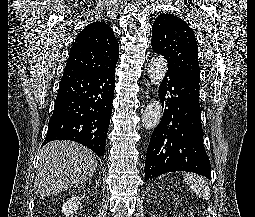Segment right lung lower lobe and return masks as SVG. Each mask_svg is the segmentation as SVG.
Segmentation results:
<instances>
[{"label": "right lung lower lobe", "mask_w": 255, "mask_h": 217, "mask_svg": "<svg viewBox=\"0 0 255 217\" xmlns=\"http://www.w3.org/2000/svg\"><path fill=\"white\" fill-rule=\"evenodd\" d=\"M114 69L64 72L43 145L53 140H72L104 156L114 97Z\"/></svg>", "instance_id": "1"}]
</instances>
